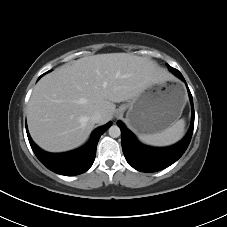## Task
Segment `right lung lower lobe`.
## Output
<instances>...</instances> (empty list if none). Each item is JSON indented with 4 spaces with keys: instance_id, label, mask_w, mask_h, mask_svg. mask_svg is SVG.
Listing matches in <instances>:
<instances>
[{
    "instance_id": "obj_1",
    "label": "right lung lower lobe",
    "mask_w": 227,
    "mask_h": 227,
    "mask_svg": "<svg viewBox=\"0 0 227 227\" xmlns=\"http://www.w3.org/2000/svg\"><path fill=\"white\" fill-rule=\"evenodd\" d=\"M110 126L111 122L98 127L86 145L66 153H48L41 150L31 139L27 126L26 131L33 152L44 166L55 173L74 176L86 172L92 166L99 138Z\"/></svg>"
}]
</instances>
